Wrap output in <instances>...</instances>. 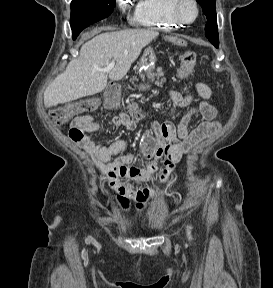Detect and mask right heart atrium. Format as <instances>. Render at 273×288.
Returning a JSON list of instances; mask_svg holds the SVG:
<instances>
[{"label": "right heart atrium", "instance_id": "right-heart-atrium-1", "mask_svg": "<svg viewBox=\"0 0 273 288\" xmlns=\"http://www.w3.org/2000/svg\"><path fill=\"white\" fill-rule=\"evenodd\" d=\"M133 1L134 0H116L119 9L122 12H126L130 8V5H132Z\"/></svg>", "mask_w": 273, "mask_h": 288}]
</instances>
